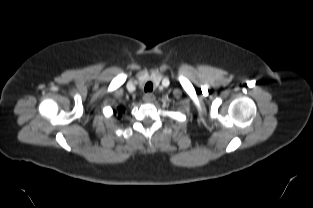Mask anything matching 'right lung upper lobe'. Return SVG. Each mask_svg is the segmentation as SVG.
Here are the masks:
<instances>
[{"mask_svg":"<svg viewBox=\"0 0 313 208\" xmlns=\"http://www.w3.org/2000/svg\"><path fill=\"white\" fill-rule=\"evenodd\" d=\"M121 112H122V108L119 107L117 111H114V115L116 117L120 118L121 117V114H120Z\"/></svg>","mask_w":313,"mask_h":208,"instance_id":"obj_1","label":"right lung upper lobe"}]
</instances>
